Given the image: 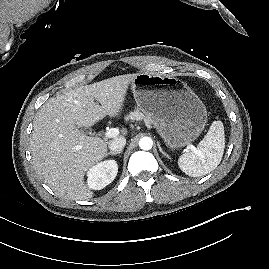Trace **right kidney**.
<instances>
[{"instance_id":"ca27d5eb","label":"right kidney","mask_w":269,"mask_h":269,"mask_svg":"<svg viewBox=\"0 0 269 269\" xmlns=\"http://www.w3.org/2000/svg\"><path fill=\"white\" fill-rule=\"evenodd\" d=\"M118 165L115 160H105L92 166L87 172V185L90 189L101 190L116 177Z\"/></svg>"}]
</instances>
